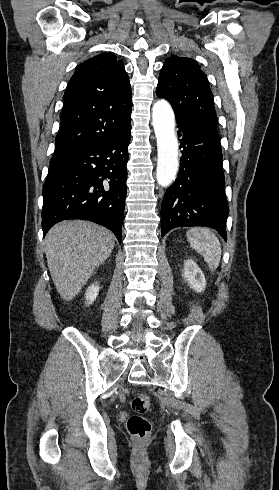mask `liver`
Wrapping results in <instances>:
<instances>
[{"instance_id":"obj_1","label":"liver","mask_w":279,"mask_h":490,"mask_svg":"<svg viewBox=\"0 0 279 490\" xmlns=\"http://www.w3.org/2000/svg\"><path fill=\"white\" fill-rule=\"evenodd\" d=\"M115 236L93 222L65 220L53 226L45 238L47 266L58 294L71 302L95 268L108 260Z\"/></svg>"}]
</instances>
